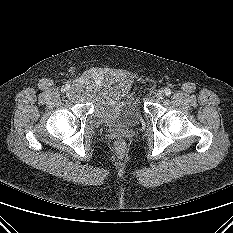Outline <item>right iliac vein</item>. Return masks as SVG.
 <instances>
[{
	"label": "right iliac vein",
	"mask_w": 233,
	"mask_h": 233,
	"mask_svg": "<svg viewBox=\"0 0 233 233\" xmlns=\"http://www.w3.org/2000/svg\"><path fill=\"white\" fill-rule=\"evenodd\" d=\"M68 93H72V89L70 88V89H68Z\"/></svg>",
	"instance_id": "right-iliac-vein-1"
}]
</instances>
